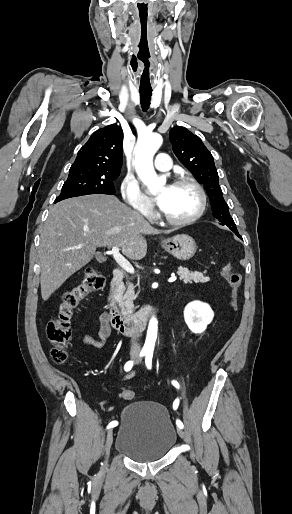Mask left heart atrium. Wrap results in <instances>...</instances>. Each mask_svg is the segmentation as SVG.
<instances>
[{
  "label": "left heart atrium",
  "mask_w": 292,
  "mask_h": 514,
  "mask_svg": "<svg viewBox=\"0 0 292 514\" xmlns=\"http://www.w3.org/2000/svg\"><path fill=\"white\" fill-rule=\"evenodd\" d=\"M171 189V186H168L165 188V190L161 193H158L155 197H154V201L156 202V204H158L159 206H162L163 205V202L165 200V197L166 195L168 194L169 190Z\"/></svg>",
  "instance_id": "1"
}]
</instances>
